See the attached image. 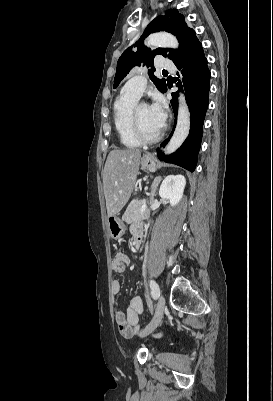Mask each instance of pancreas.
Listing matches in <instances>:
<instances>
[{"instance_id":"1","label":"pancreas","mask_w":273,"mask_h":401,"mask_svg":"<svg viewBox=\"0 0 273 401\" xmlns=\"http://www.w3.org/2000/svg\"><path fill=\"white\" fill-rule=\"evenodd\" d=\"M143 201H145V198H140V201H134V203H130L122 217V221H125L127 225H130V223H135V221H144V219H149L150 209H148V207H145L144 212H141L140 206L142 205ZM146 202L148 205H151V198L150 201Z\"/></svg>"}]
</instances>
